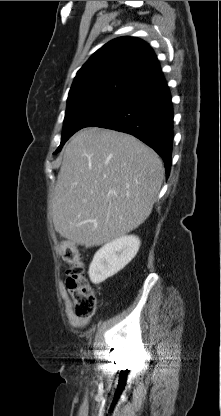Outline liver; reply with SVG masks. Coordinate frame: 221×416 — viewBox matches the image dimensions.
<instances>
[{"mask_svg":"<svg viewBox=\"0 0 221 416\" xmlns=\"http://www.w3.org/2000/svg\"><path fill=\"white\" fill-rule=\"evenodd\" d=\"M163 177L159 156L134 136L80 130L65 148L52 198L56 232L86 248L125 236L151 214Z\"/></svg>","mask_w":221,"mask_h":416,"instance_id":"liver-1","label":"liver"}]
</instances>
